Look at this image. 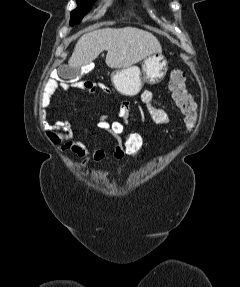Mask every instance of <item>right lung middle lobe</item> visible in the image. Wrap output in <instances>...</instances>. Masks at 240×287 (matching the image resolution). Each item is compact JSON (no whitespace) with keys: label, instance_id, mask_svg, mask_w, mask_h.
<instances>
[{"label":"right lung middle lobe","instance_id":"1","mask_svg":"<svg viewBox=\"0 0 240 287\" xmlns=\"http://www.w3.org/2000/svg\"><path fill=\"white\" fill-rule=\"evenodd\" d=\"M93 3L94 0H77L78 7L71 13L70 24H78L83 16L89 11Z\"/></svg>","mask_w":240,"mask_h":287}]
</instances>
